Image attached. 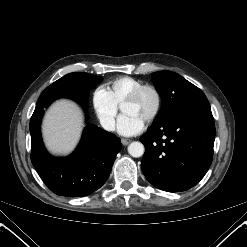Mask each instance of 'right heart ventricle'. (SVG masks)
<instances>
[{
  "label": "right heart ventricle",
  "mask_w": 247,
  "mask_h": 247,
  "mask_svg": "<svg viewBox=\"0 0 247 247\" xmlns=\"http://www.w3.org/2000/svg\"><path fill=\"white\" fill-rule=\"evenodd\" d=\"M143 84L142 80L130 76H122L111 81L108 84V90L114 101L118 105H122L129 94Z\"/></svg>",
  "instance_id": "right-heart-ventricle-1"
}]
</instances>
